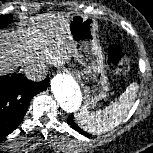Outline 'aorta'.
Segmentation results:
<instances>
[{
  "label": "aorta",
  "instance_id": "aorta-1",
  "mask_svg": "<svg viewBox=\"0 0 153 153\" xmlns=\"http://www.w3.org/2000/svg\"><path fill=\"white\" fill-rule=\"evenodd\" d=\"M51 89L60 107L68 112H75L82 101L80 88L69 75L56 76L51 83Z\"/></svg>",
  "mask_w": 153,
  "mask_h": 153
}]
</instances>
